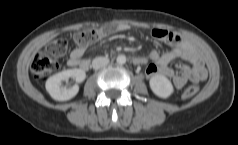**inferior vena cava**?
<instances>
[{"instance_id":"1","label":"inferior vena cava","mask_w":238,"mask_h":145,"mask_svg":"<svg viewBox=\"0 0 238 145\" xmlns=\"http://www.w3.org/2000/svg\"><path fill=\"white\" fill-rule=\"evenodd\" d=\"M109 63V59L107 57H96L92 61V67L95 70H98Z\"/></svg>"}]
</instances>
